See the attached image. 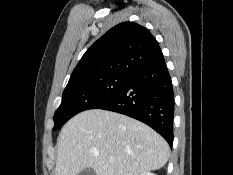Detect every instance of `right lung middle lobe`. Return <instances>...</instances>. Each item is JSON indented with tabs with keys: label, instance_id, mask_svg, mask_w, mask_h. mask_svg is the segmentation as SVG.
Returning <instances> with one entry per match:
<instances>
[{
	"label": "right lung middle lobe",
	"instance_id": "dd1d6c3e",
	"mask_svg": "<svg viewBox=\"0 0 233 175\" xmlns=\"http://www.w3.org/2000/svg\"><path fill=\"white\" fill-rule=\"evenodd\" d=\"M131 75L110 73L68 83L62 102L54 114V128L59 129L71 117L94 109L112 99L129 81Z\"/></svg>",
	"mask_w": 233,
	"mask_h": 175
}]
</instances>
